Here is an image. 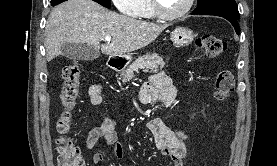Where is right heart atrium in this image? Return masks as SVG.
Wrapping results in <instances>:
<instances>
[{
    "label": "right heart atrium",
    "instance_id": "d8ad5b80",
    "mask_svg": "<svg viewBox=\"0 0 277 166\" xmlns=\"http://www.w3.org/2000/svg\"><path fill=\"white\" fill-rule=\"evenodd\" d=\"M112 2L123 14L134 16L139 10L142 0H112Z\"/></svg>",
    "mask_w": 277,
    "mask_h": 166
}]
</instances>
